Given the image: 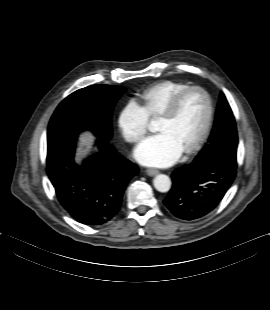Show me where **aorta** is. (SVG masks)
<instances>
[{
  "mask_svg": "<svg viewBox=\"0 0 270 310\" xmlns=\"http://www.w3.org/2000/svg\"><path fill=\"white\" fill-rule=\"evenodd\" d=\"M153 185L155 189L159 192H167L171 187V180L165 174H158L153 180Z\"/></svg>",
  "mask_w": 270,
  "mask_h": 310,
  "instance_id": "1",
  "label": "aorta"
}]
</instances>
